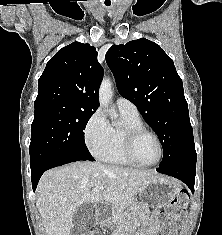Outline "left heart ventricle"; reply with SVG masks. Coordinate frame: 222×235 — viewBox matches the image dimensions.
I'll use <instances>...</instances> for the list:
<instances>
[{
    "mask_svg": "<svg viewBox=\"0 0 222 235\" xmlns=\"http://www.w3.org/2000/svg\"><path fill=\"white\" fill-rule=\"evenodd\" d=\"M134 152L139 162L153 163L159 157V146L152 136L145 134L138 139Z\"/></svg>",
    "mask_w": 222,
    "mask_h": 235,
    "instance_id": "1",
    "label": "left heart ventricle"
}]
</instances>
